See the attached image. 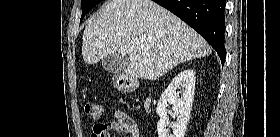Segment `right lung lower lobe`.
Listing matches in <instances>:
<instances>
[{
    "label": "right lung lower lobe",
    "instance_id": "98d812e1",
    "mask_svg": "<svg viewBox=\"0 0 280 137\" xmlns=\"http://www.w3.org/2000/svg\"><path fill=\"white\" fill-rule=\"evenodd\" d=\"M178 16L216 50L223 64L225 0H153Z\"/></svg>",
    "mask_w": 280,
    "mask_h": 137
}]
</instances>
